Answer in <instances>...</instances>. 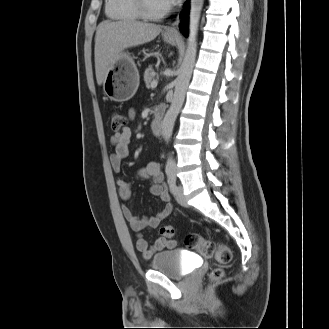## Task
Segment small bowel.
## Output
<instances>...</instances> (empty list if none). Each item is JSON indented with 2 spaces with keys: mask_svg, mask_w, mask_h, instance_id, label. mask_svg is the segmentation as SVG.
<instances>
[{
  "mask_svg": "<svg viewBox=\"0 0 329 329\" xmlns=\"http://www.w3.org/2000/svg\"><path fill=\"white\" fill-rule=\"evenodd\" d=\"M132 114L133 113L130 115L132 116ZM130 139L131 130L128 127H125L122 131L111 135L110 143L114 150V153L111 156V166L117 173L120 172L122 161L129 153ZM137 175L142 179L148 180L150 182L151 194L160 197L161 200L166 203L162 211L150 218L137 217L127 206H122L121 208L122 214L129 223L131 229L137 233V250L142 253L144 258H150L157 252L175 248L177 245L175 240H168L163 237L157 238L150 245L143 234L145 230L157 228L160 223L172 212L173 206L171 203V197L163 182V172L160 162L153 161L140 167L137 171ZM116 183L119 198L124 201L129 200L132 194L131 183L122 178L118 179Z\"/></svg>",
  "mask_w": 329,
  "mask_h": 329,
  "instance_id": "small-bowel-1",
  "label": "small bowel"
}]
</instances>
